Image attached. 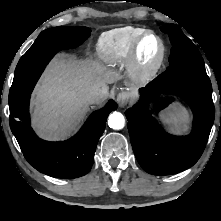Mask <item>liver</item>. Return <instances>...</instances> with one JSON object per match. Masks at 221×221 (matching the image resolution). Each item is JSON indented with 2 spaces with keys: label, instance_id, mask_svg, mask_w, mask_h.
<instances>
[{
  "label": "liver",
  "instance_id": "1",
  "mask_svg": "<svg viewBox=\"0 0 221 221\" xmlns=\"http://www.w3.org/2000/svg\"><path fill=\"white\" fill-rule=\"evenodd\" d=\"M117 72L93 60L54 58L36 86L32 102V123L40 137L61 140L69 136L86 115V91L92 86L104 89L119 80Z\"/></svg>",
  "mask_w": 221,
  "mask_h": 221
}]
</instances>
